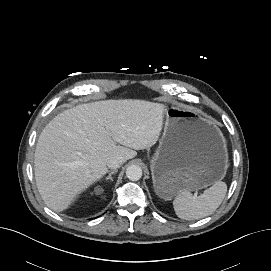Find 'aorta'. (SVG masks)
<instances>
[{
    "mask_svg": "<svg viewBox=\"0 0 271 271\" xmlns=\"http://www.w3.org/2000/svg\"><path fill=\"white\" fill-rule=\"evenodd\" d=\"M126 176L131 181H137L142 177V169L138 165H130L126 169Z\"/></svg>",
    "mask_w": 271,
    "mask_h": 271,
    "instance_id": "aorta-1",
    "label": "aorta"
}]
</instances>
